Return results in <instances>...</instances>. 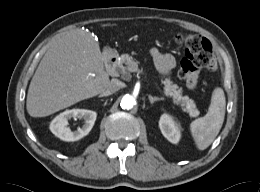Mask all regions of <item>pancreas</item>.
Here are the masks:
<instances>
[{"instance_id":"obj_1","label":"pancreas","mask_w":260,"mask_h":192,"mask_svg":"<svg viewBox=\"0 0 260 192\" xmlns=\"http://www.w3.org/2000/svg\"><path fill=\"white\" fill-rule=\"evenodd\" d=\"M137 64L138 62L132 56L122 54L118 65V71L122 78L126 80L130 79L131 68ZM161 83L164 85L165 95L172 97L173 103L180 105L185 112L189 113L190 117H197L199 115L195 102L188 96H182V89L177 84H174L170 77L162 78Z\"/></svg>"}]
</instances>
